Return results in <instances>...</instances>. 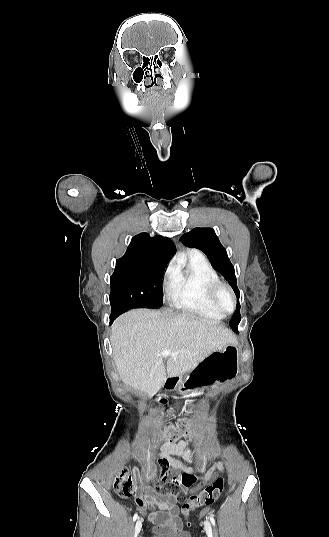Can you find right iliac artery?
<instances>
[{"label": "right iliac artery", "instance_id": "82829eb1", "mask_svg": "<svg viewBox=\"0 0 329 537\" xmlns=\"http://www.w3.org/2000/svg\"><path fill=\"white\" fill-rule=\"evenodd\" d=\"M137 518H138V514H137V513H135V514H134V516H133V521H136V520H137Z\"/></svg>", "mask_w": 329, "mask_h": 537}]
</instances>
